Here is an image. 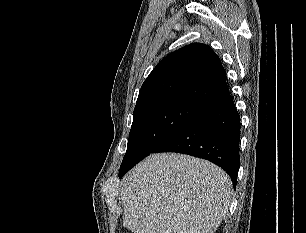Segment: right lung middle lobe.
I'll return each instance as SVG.
<instances>
[{"label":"right lung middle lobe","instance_id":"1","mask_svg":"<svg viewBox=\"0 0 306 233\" xmlns=\"http://www.w3.org/2000/svg\"><path fill=\"white\" fill-rule=\"evenodd\" d=\"M202 107L186 99L167 98L154 100L135 109L119 177L152 153Z\"/></svg>","mask_w":306,"mask_h":233}]
</instances>
